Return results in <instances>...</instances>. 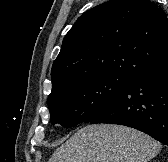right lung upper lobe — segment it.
<instances>
[{
	"mask_svg": "<svg viewBox=\"0 0 168 162\" xmlns=\"http://www.w3.org/2000/svg\"><path fill=\"white\" fill-rule=\"evenodd\" d=\"M166 61L165 12L150 0H110L82 14L64 37L52 92L107 74L133 77Z\"/></svg>",
	"mask_w": 168,
	"mask_h": 162,
	"instance_id": "1",
	"label": "right lung upper lobe"
}]
</instances>
